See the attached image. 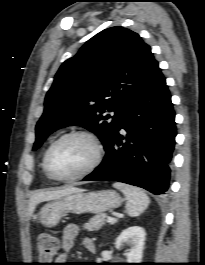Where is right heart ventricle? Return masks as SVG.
Segmentation results:
<instances>
[{
	"instance_id": "obj_1",
	"label": "right heart ventricle",
	"mask_w": 205,
	"mask_h": 265,
	"mask_svg": "<svg viewBox=\"0 0 205 265\" xmlns=\"http://www.w3.org/2000/svg\"><path fill=\"white\" fill-rule=\"evenodd\" d=\"M43 170H44V167H43ZM44 173H45V175H46L48 178H50V177L48 176V174L45 172V170H44Z\"/></svg>"
}]
</instances>
